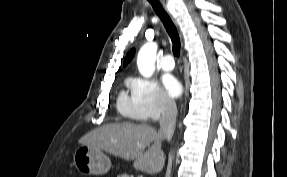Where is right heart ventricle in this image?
<instances>
[{"instance_id": "obj_1", "label": "right heart ventricle", "mask_w": 287, "mask_h": 177, "mask_svg": "<svg viewBox=\"0 0 287 177\" xmlns=\"http://www.w3.org/2000/svg\"><path fill=\"white\" fill-rule=\"evenodd\" d=\"M119 112L126 117L136 118L135 102L133 97H129L125 91H121L117 101Z\"/></svg>"}]
</instances>
